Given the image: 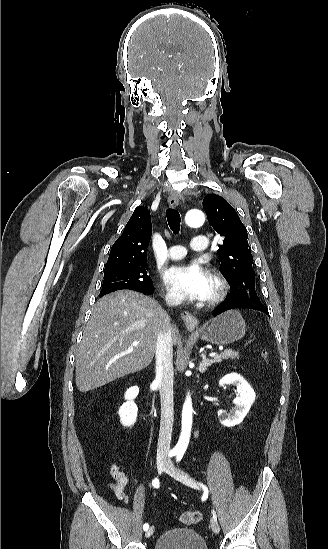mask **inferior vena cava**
<instances>
[{
    "mask_svg": "<svg viewBox=\"0 0 328 549\" xmlns=\"http://www.w3.org/2000/svg\"><path fill=\"white\" fill-rule=\"evenodd\" d=\"M168 307H176L177 301L166 299ZM173 343L170 329L159 333L156 343V377L160 379L161 423L157 457H167L173 425Z\"/></svg>",
    "mask_w": 328,
    "mask_h": 549,
    "instance_id": "602c4592",
    "label": "inferior vena cava"
}]
</instances>
